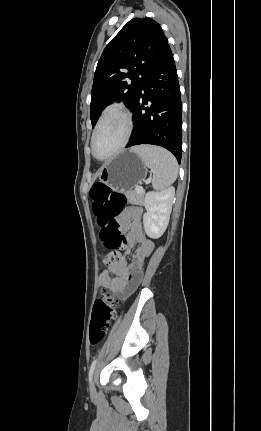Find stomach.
Listing matches in <instances>:
<instances>
[{"mask_svg": "<svg viewBox=\"0 0 261 431\" xmlns=\"http://www.w3.org/2000/svg\"><path fill=\"white\" fill-rule=\"evenodd\" d=\"M147 167L132 149L122 151L109 160L99 171V179L114 190L127 192L141 183Z\"/></svg>", "mask_w": 261, "mask_h": 431, "instance_id": "1", "label": "stomach"}]
</instances>
